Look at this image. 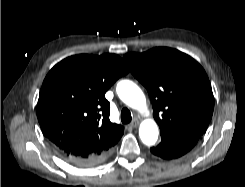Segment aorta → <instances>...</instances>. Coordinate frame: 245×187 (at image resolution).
I'll return each instance as SVG.
<instances>
[{
    "label": "aorta",
    "mask_w": 245,
    "mask_h": 187,
    "mask_svg": "<svg viewBox=\"0 0 245 187\" xmlns=\"http://www.w3.org/2000/svg\"><path fill=\"white\" fill-rule=\"evenodd\" d=\"M119 98L133 109L143 111L146 98L142 90L130 80H122L116 88ZM158 127L154 120L146 119L140 124L139 136L145 145H154L158 139Z\"/></svg>",
    "instance_id": "1"
}]
</instances>
